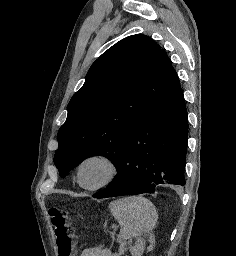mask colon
Here are the masks:
<instances>
[{
    "mask_svg": "<svg viewBox=\"0 0 236 256\" xmlns=\"http://www.w3.org/2000/svg\"><path fill=\"white\" fill-rule=\"evenodd\" d=\"M49 218L55 237L58 256H73L75 237L66 210L51 208Z\"/></svg>",
    "mask_w": 236,
    "mask_h": 256,
    "instance_id": "colon-1",
    "label": "colon"
}]
</instances>
